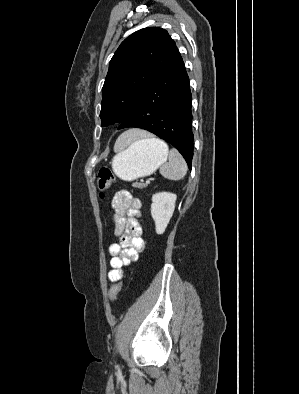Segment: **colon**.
I'll return each instance as SVG.
<instances>
[{
  "label": "colon",
  "mask_w": 299,
  "mask_h": 394,
  "mask_svg": "<svg viewBox=\"0 0 299 394\" xmlns=\"http://www.w3.org/2000/svg\"><path fill=\"white\" fill-rule=\"evenodd\" d=\"M116 181L115 175L110 168H101L98 173V186L103 191L108 189ZM122 280L118 279L114 282L110 289V299L116 301L117 295L121 289Z\"/></svg>",
  "instance_id": "colon-1"
}]
</instances>
